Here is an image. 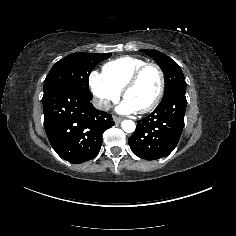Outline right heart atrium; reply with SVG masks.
Segmentation results:
<instances>
[{"mask_svg":"<svg viewBox=\"0 0 236 236\" xmlns=\"http://www.w3.org/2000/svg\"><path fill=\"white\" fill-rule=\"evenodd\" d=\"M89 87L94 96L96 105L102 110L110 107V104L117 101L121 95L105 79L102 73L92 71L89 75Z\"/></svg>","mask_w":236,"mask_h":236,"instance_id":"right-heart-atrium-1","label":"right heart atrium"}]
</instances>
